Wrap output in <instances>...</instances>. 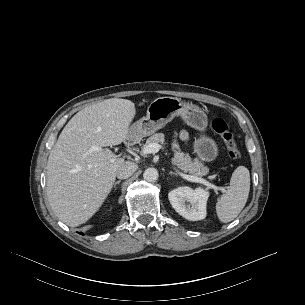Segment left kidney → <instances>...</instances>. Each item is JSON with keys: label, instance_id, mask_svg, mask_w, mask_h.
<instances>
[{"label": "left kidney", "instance_id": "5707ae66", "mask_svg": "<svg viewBox=\"0 0 305 305\" xmlns=\"http://www.w3.org/2000/svg\"><path fill=\"white\" fill-rule=\"evenodd\" d=\"M209 193L202 189L179 187L168 194L169 201L175 211L190 221L202 220L206 217V204Z\"/></svg>", "mask_w": 305, "mask_h": 305}]
</instances>
